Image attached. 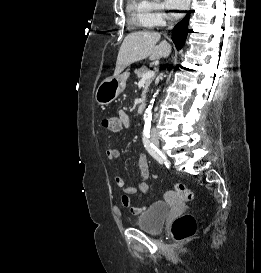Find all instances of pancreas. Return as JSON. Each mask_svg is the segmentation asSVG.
<instances>
[{
    "label": "pancreas",
    "mask_w": 261,
    "mask_h": 273,
    "mask_svg": "<svg viewBox=\"0 0 261 273\" xmlns=\"http://www.w3.org/2000/svg\"><path fill=\"white\" fill-rule=\"evenodd\" d=\"M146 72H148V68L143 66L139 69H135V74L137 75V78L138 79H141L143 74H145ZM152 82V78H149L146 80V83H145V86H144V90H143V93H142V98L145 99V96H146V92L148 91V87L150 86Z\"/></svg>",
    "instance_id": "1"
}]
</instances>
